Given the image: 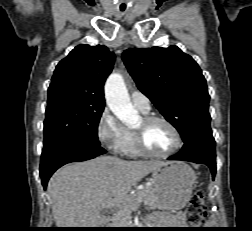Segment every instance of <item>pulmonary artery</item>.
<instances>
[{
    "mask_svg": "<svg viewBox=\"0 0 252 231\" xmlns=\"http://www.w3.org/2000/svg\"><path fill=\"white\" fill-rule=\"evenodd\" d=\"M131 100L133 105L140 111L148 113L151 109L149 99L140 91L134 90L131 93Z\"/></svg>",
    "mask_w": 252,
    "mask_h": 231,
    "instance_id": "pulmonary-artery-1",
    "label": "pulmonary artery"
}]
</instances>
